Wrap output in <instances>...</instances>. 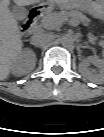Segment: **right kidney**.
Listing matches in <instances>:
<instances>
[{
	"instance_id": "obj_1",
	"label": "right kidney",
	"mask_w": 104,
	"mask_h": 137,
	"mask_svg": "<svg viewBox=\"0 0 104 137\" xmlns=\"http://www.w3.org/2000/svg\"><path fill=\"white\" fill-rule=\"evenodd\" d=\"M36 55L31 50H26L20 53V55L13 62V69L19 75H22L35 67Z\"/></svg>"
}]
</instances>
